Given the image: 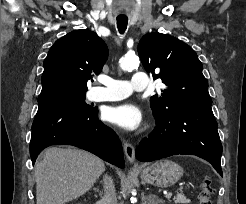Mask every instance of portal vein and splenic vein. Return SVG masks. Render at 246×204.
Instances as JSON below:
<instances>
[{
  "instance_id": "18ae733b",
  "label": "portal vein and splenic vein",
  "mask_w": 246,
  "mask_h": 204,
  "mask_svg": "<svg viewBox=\"0 0 246 204\" xmlns=\"http://www.w3.org/2000/svg\"><path fill=\"white\" fill-rule=\"evenodd\" d=\"M172 196V194L171 193H169L168 195H167V198H169V197H171Z\"/></svg>"
}]
</instances>
